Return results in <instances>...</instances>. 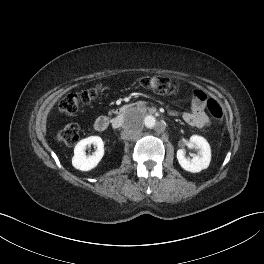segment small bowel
I'll use <instances>...</instances> for the list:
<instances>
[{
	"mask_svg": "<svg viewBox=\"0 0 264 264\" xmlns=\"http://www.w3.org/2000/svg\"><path fill=\"white\" fill-rule=\"evenodd\" d=\"M206 95L196 90L192 96V109L181 114L182 119L189 125L196 128H203L208 125L209 118L205 112Z\"/></svg>",
	"mask_w": 264,
	"mask_h": 264,
	"instance_id": "small-bowel-1",
	"label": "small bowel"
}]
</instances>
